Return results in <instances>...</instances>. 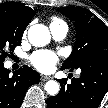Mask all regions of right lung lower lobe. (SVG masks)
Wrapping results in <instances>:
<instances>
[{
  "instance_id": "98d812e1",
  "label": "right lung lower lobe",
  "mask_w": 108,
  "mask_h": 108,
  "mask_svg": "<svg viewBox=\"0 0 108 108\" xmlns=\"http://www.w3.org/2000/svg\"><path fill=\"white\" fill-rule=\"evenodd\" d=\"M9 73L0 62V108H19L28 87L39 82L40 74L28 66Z\"/></svg>"
}]
</instances>
